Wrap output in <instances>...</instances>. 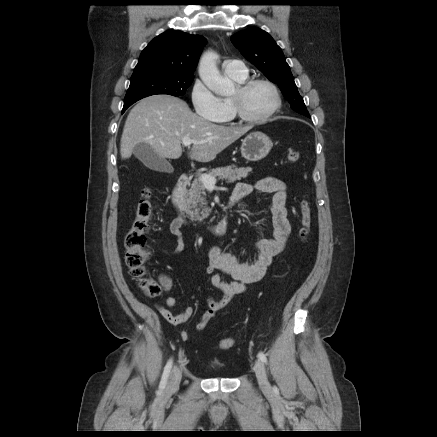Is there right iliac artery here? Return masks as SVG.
<instances>
[{"instance_id": "82829eb1", "label": "right iliac artery", "mask_w": 437, "mask_h": 437, "mask_svg": "<svg viewBox=\"0 0 437 437\" xmlns=\"http://www.w3.org/2000/svg\"><path fill=\"white\" fill-rule=\"evenodd\" d=\"M172 364H173V360L170 359L164 368V372H163V375H162V378L160 381V385H159L160 389H164L166 384H167V380H168V376H169V373H170L171 368H172Z\"/></svg>"}]
</instances>
